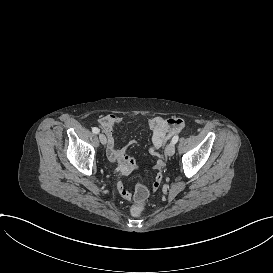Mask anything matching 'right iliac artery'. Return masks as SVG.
<instances>
[{"label":"right iliac artery","mask_w":273,"mask_h":273,"mask_svg":"<svg viewBox=\"0 0 273 273\" xmlns=\"http://www.w3.org/2000/svg\"><path fill=\"white\" fill-rule=\"evenodd\" d=\"M92 132L95 134H98L100 132V130L97 127H93Z\"/></svg>","instance_id":"82829eb1"}]
</instances>
